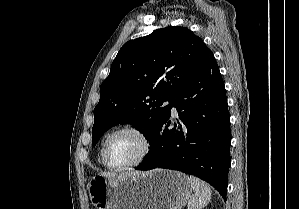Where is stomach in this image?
I'll return each mask as SVG.
<instances>
[{
	"mask_svg": "<svg viewBox=\"0 0 299 209\" xmlns=\"http://www.w3.org/2000/svg\"><path fill=\"white\" fill-rule=\"evenodd\" d=\"M88 191L96 209H182L192 186L181 172L154 169L125 177L94 176Z\"/></svg>",
	"mask_w": 299,
	"mask_h": 209,
	"instance_id": "1",
	"label": "stomach"
}]
</instances>
